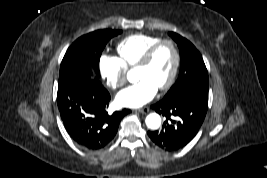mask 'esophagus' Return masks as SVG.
Wrapping results in <instances>:
<instances>
[{"mask_svg":"<svg viewBox=\"0 0 267 178\" xmlns=\"http://www.w3.org/2000/svg\"><path fill=\"white\" fill-rule=\"evenodd\" d=\"M135 112L147 114L149 112V108L148 107L141 108V109L135 110Z\"/></svg>","mask_w":267,"mask_h":178,"instance_id":"esophagus-1","label":"esophagus"}]
</instances>
